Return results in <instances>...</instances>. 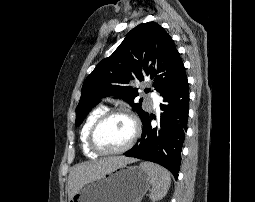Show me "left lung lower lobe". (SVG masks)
I'll list each match as a JSON object with an SVG mask.
<instances>
[{
    "mask_svg": "<svg viewBox=\"0 0 255 202\" xmlns=\"http://www.w3.org/2000/svg\"><path fill=\"white\" fill-rule=\"evenodd\" d=\"M161 96L163 103L160 108L163 112L160 114L159 125L153 128L152 116L147 114L142 120L141 140L124 155L158 163L167 168L177 179L189 111L186 73Z\"/></svg>",
    "mask_w": 255,
    "mask_h": 202,
    "instance_id": "0a47b994",
    "label": "left lung lower lobe"
}]
</instances>
